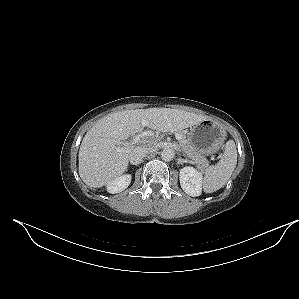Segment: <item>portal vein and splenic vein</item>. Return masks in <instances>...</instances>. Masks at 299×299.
I'll return each instance as SVG.
<instances>
[{
  "label": "portal vein and splenic vein",
  "mask_w": 299,
  "mask_h": 299,
  "mask_svg": "<svg viewBox=\"0 0 299 299\" xmlns=\"http://www.w3.org/2000/svg\"><path fill=\"white\" fill-rule=\"evenodd\" d=\"M143 124H145V123L143 122ZM152 135H153V133H151L150 131H146V132H142L141 134L136 135L135 138L130 142L114 141V143L117 144V145H122L123 148H126V147H129V146L133 145V144L139 143L141 141V139H143L144 137H148V136H152ZM175 138L177 140H181L182 136L180 134H176ZM121 150H122V148L117 149V151H121Z\"/></svg>",
  "instance_id": "1"
}]
</instances>
